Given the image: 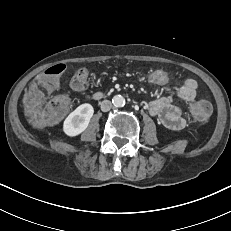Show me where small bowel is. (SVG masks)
<instances>
[{"mask_svg":"<svg viewBox=\"0 0 231 231\" xmlns=\"http://www.w3.org/2000/svg\"><path fill=\"white\" fill-rule=\"evenodd\" d=\"M197 88L196 80L187 79L172 94L152 100L148 105L150 115L156 117L159 123L168 129L180 130L184 128L186 122L182 110L174 101L175 99L185 102L194 100ZM85 98L90 99L92 96L86 95Z\"/></svg>","mask_w":231,"mask_h":231,"instance_id":"small-bowel-1","label":"small bowel"}]
</instances>
